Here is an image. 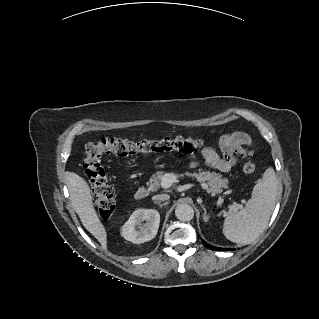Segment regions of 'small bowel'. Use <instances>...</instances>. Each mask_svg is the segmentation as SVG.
Returning <instances> with one entry per match:
<instances>
[{
    "label": "small bowel",
    "instance_id": "small-bowel-1",
    "mask_svg": "<svg viewBox=\"0 0 319 319\" xmlns=\"http://www.w3.org/2000/svg\"><path fill=\"white\" fill-rule=\"evenodd\" d=\"M250 145L251 140L244 133L226 135L220 140V147L224 156L220 157L214 149L205 147L201 151L203 163L214 170L224 173L229 172L239 158L250 154L246 149ZM197 165L196 162H190L189 164L191 168H196Z\"/></svg>",
    "mask_w": 319,
    "mask_h": 319
}]
</instances>
